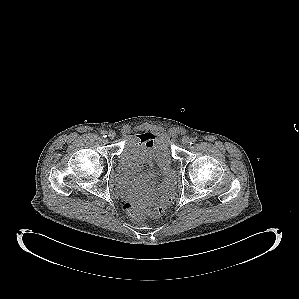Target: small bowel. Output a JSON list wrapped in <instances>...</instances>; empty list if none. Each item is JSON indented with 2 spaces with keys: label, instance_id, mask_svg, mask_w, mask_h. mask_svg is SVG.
I'll return each instance as SVG.
<instances>
[{
  "label": "small bowel",
  "instance_id": "obj_1",
  "mask_svg": "<svg viewBox=\"0 0 299 299\" xmlns=\"http://www.w3.org/2000/svg\"><path fill=\"white\" fill-rule=\"evenodd\" d=\"M135 136L140 140V142H142L145 145H150V143L152 142V140L155 137L152 133H144V134L135 135ZM145 163L151 164V159L148 157L139 158L136 163V172H139ZM158 165L161 169V172L164 174L165 178H164L163 182L157 186L156 194L158 196H164L172 189L173 176L170 173V170H169L167 164L159 163ZM155 176H156L155 172H153V171L141 175L135 182V189L136 190L140 189V190L152 191L153 189H152L151 184L153 183Z\"/></svg>",
  "mask_w": 299,
  "mask_h": 299
}]
</instances>
